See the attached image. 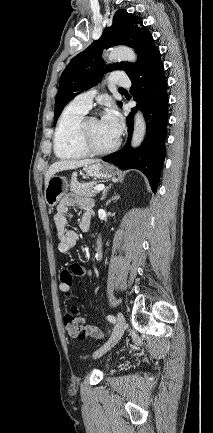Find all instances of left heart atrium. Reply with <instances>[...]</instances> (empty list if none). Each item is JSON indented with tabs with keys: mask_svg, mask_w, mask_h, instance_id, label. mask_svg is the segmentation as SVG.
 <instances>
[{
	"mask_svg": "<svg viewBox=\"0 0 213 433\" xmlns=\"http://www.w3.org/2000/svg\"><path fill=\"white\" fill-rule=\"evenodd\" d=\"M102 124L116 137L118 138L122 128V119L114 107H109L101 119Z\"/></svg>",
	"mask_w": 213,
	"mask_h": 433,
	"instance_id": "1",
	"label": "left heart atrium"
}]
</instances>
